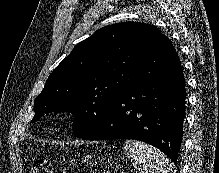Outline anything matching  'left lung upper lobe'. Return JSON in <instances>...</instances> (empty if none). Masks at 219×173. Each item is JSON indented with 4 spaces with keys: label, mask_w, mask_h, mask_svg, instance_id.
<instances>
[{
    "label": "left lung upper lobe",
    "mask_w": 219,
    "mask_h": 173,
    "mask_svg": "<svg viewBox=\"0 0 219 173\" xmlns=\"http://www.w3.org/2000/svg\"><path fill=\"white\" fill-rule=\"evenodd\" d=\"M166 39L157 27L139 22L97 30L50 74L34 101L32 122L45 113L63 110L74 115L76 137L90 133L134 86L138 67Z\"/></svg>",
    "instance_id": "1"
}]
</instances>
